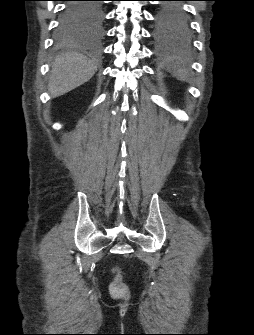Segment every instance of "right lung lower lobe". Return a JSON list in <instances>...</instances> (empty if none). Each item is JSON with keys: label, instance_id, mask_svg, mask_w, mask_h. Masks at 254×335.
<instances>
[{"label": "right lung lower lobe", "instance_id": "98d812e1", "mask_svg": "<svg viewBox=\"0 0 254 335\" xmlns=\"http://www.w3.org/2000/svg\"><path fill=\"white\" fill-rule=\"evenodd\" d=\"M90 2L97 0L70 1L60 19L59 28L70 26L75 21V16L79 17V26L82 30L93 28L99 21L98 10L90 6Z\"/></svg>", "mask_w": 254, "mask_h": 335}]
</instances>
